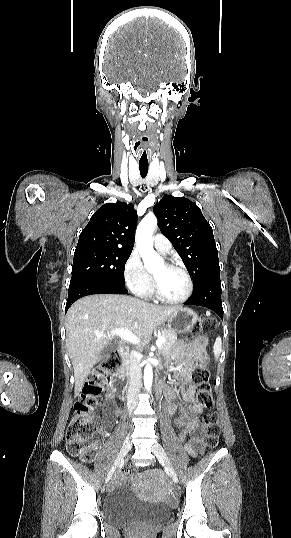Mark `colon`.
I'll return each mask as SVG.
<instances>
[{"label": "colon", "mask_w": 291, "mask_h": 538, "mask_svg": "<svg viewBox=\"0 0 291 538\" xmlns=\"http://www.w3.org/2000/svg\"><path fill=\"white\" fill-rule=\"evenodd\" d=\"M213 327V319L203 317L194 326L187 338L192 339L196 334L210 332ZM121 362V354L115 351L93 369L88 375L79 399L75 404V414L66 431V447L70 454L79 456L85 461H90L94 458L99 443L101 428L95 411L99 396L103 390V383L106 378L119 371ZM192 382L197 388V403L205 409L212 410L214 400L207 369V359L203 355L196 359ZM203 428L207 446L209 448L216 447L220 435L219 416L216 412H209L203 416ZM135 472V467H130L126 470L129 476H133Z\"/></svg>", "instance_id": "5ec220e1"}]
</instances>
